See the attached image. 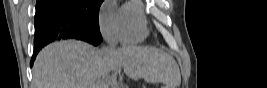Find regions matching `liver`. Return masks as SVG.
Wrapping results in <instances>:
<instances>
[{"label": "liver", "mask_w": 267, "mask_h": 88, "mask_svg": "<svg viewBox=\"0 0 267 88\" xmlns=\"http://www.w3.org/2000/svg\"><path fill=\"white\" fill-rule=\"evenodd\" d=\"M124 72L134 80L180 84V72L173 57L159 49L127 46L120 49L65 40L44 47L33 67V88H99L111 84V71Z\"/></svg>", "instance_id": "obj_1"}]
</instances>
